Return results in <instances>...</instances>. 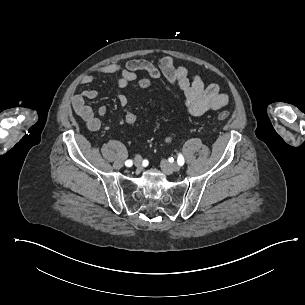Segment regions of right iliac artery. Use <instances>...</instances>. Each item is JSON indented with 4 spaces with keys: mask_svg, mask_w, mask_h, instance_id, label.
<instances>
[{
    "mask_svg": "<svg viewBox=\"0 0 305 305\" xmlns=\"http://www.w3.org/2000/svg\"><path fill=\"white\" fill-rule=\"evenodd\" d=\"M132 164H133L132 160H127V161L125 162V165H126L127 167L132 166Z\"/></svg>",
    "mask_w": 305,
    "mask_h": 305,
    "instance_id": "right-iliac-artery-1",
    "label": "right iliac artery"
}]
</instances>
